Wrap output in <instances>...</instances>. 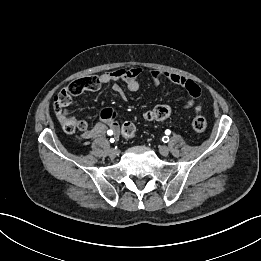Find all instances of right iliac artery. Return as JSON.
I'll list each match as a JSON object with an SVG mask.
<instances>
[{
    "instance_id": "1",
    "label": "right iliac artery",
    "mask_w": 261,
    "mask_h": 261,
    "mask_svg": "<svg viewBox=\"0 0 261 261\" xmlns=\"http://www.w3.org/2000/svg\"><path fill=\"white\" fill-rule=\"evenodd\" d=\"M107 133H108V135H112V134H113V132H112L111 130H108ZM114 141H115L114 138H111V139H110V142H111V143H113Z\"/></svg>"
}]
</instances>
